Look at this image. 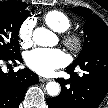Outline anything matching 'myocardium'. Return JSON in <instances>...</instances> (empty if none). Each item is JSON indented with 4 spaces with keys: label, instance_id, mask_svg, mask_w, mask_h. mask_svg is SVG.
Masks as SVG:
<instances>
[{
    "label": "myocardium",
    "instance_id": "obj_1",
    "mask_svg": "<svg viewBox=\"0 0 108 108\" xmlns=\"http://www.w3.org/2000/svg\"><path fill=\"white\" fill-rule=\"evenodd\" d=\"M62 41L64 45L72 52H78L83 45V40L81 36L73 32L66 33L63 36Z\"/></svg>",
    "mask_w": 108,
    "mask_h": 108
}]
</instances>
